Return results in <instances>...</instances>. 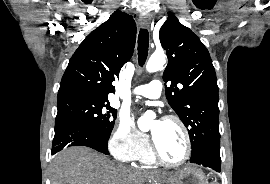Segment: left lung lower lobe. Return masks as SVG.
I'll return each instance as SVG.
<instances>
[{"label":"left lung lower lobe","mask_w":270,"mask_h":184,"mask_svg":"<svg viewBox=\"0 0 270 184\" xmlns=\"http://www.w3.org/2000/svg\"><path fill=\"white\" fill-rule=\"evenodd\" d=\"M190 162L209 167L217 172L221 171L220 146H202Z\"/></svg>","instance_id":"left-lung-lower-lobe-1"}]
</instances>
